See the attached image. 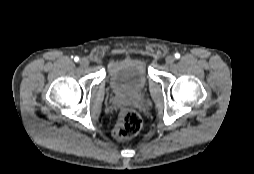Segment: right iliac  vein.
<instances>
[{"mask_svg": "<svg viewBox=\"0 0 254 174\" xmlns=\"http://www.w3.org/2000/svg\"><path fill=\"white\" fill-rule=\"evenodd\" d=\"M79 63L82 67H87L89 65V60L87 58H81Z\"/></svg>", "mask_w": 254, "mask_h": 174, "instance_id": "obj_1", "label": "right iliac vein"}]
</instances>
